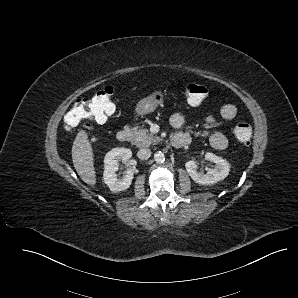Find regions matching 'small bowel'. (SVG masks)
<instances>
[{
	"label": "small bowel",
	"mask_w": 298,
	"mask_h": 298,
	"mask_svg": "<svg viewBox=\"0 0 298 298\" xmlns=\"http://www.w3.org/2000/svg\"><path fill=\"white\" fill-rule=\"evenodd\" d=\"M236 114L237 109L232 104H225L220 109V116L222 119L226 121L234 119ZM169 122L172 127L179 129L184 126L185 118L180 113H174L171 115ZM215 122L216 119L213 115L209 114L206 117V123L208 125L212 126L215 124ZM209 141L211 146L217 150H224L228 146V138L222 132L219 131H214L210 135Z\"/></svg>",
	"instance_id": "1"
}]
</instances>
